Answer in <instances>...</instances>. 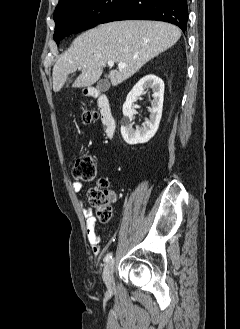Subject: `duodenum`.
I'll return each instance as SVG.
<instances>
[{"mask_svg":"<svg viewBox=\"0 0 240 329\" xmlns=\"http://www.w3.org/2000/svg\"><path fill=\"white\" fill-rule=\"evenodd\" d=\"M89 94L91 96L97 97L100 119L105 135L108 138L113 137L116 131V120L113 115L109 97L106 94L98 92L93 88L90 89Z\"/></svg>","mask_w":240,"mask_h":329,"instance_id":"obj_1","label":"duodenum"}]
</instances>
